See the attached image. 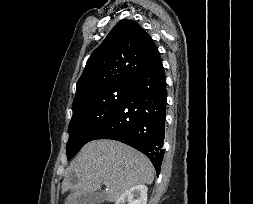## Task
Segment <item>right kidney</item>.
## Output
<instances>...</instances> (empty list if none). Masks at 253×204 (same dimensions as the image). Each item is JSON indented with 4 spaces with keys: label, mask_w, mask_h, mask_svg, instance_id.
Returning a JSON list of instances; mask_svg holds the SVG:
<instances>
[{
    "label": "right kidney",
    "mask_w": 253,
    "mask_h": 204,
    "mask_svg": "<svg viewBox=\"0 0 253 204\" xmlns=\"http://www.w3.org/2000/svg\"><path fill=\"white\" fill-rule=\"evenodd\" d=\"M148 188L145 185H136L125 191L115 204H146Z\"/></svg>",
    "instance_id": "ca27d5eb"
}]
</instances>
